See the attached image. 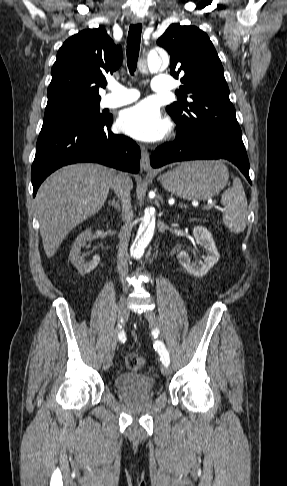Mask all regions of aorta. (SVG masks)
I'll return each instance as SVG.
<instances>
[{
  "label": "aorta",
  "instance_id": "1",
  "mask_svg": "<svg viewBox=\"0 0 287 486\" xmlns=\"http://www.w3.org/2000/svg\"><path fill=\"white\" fill-rule=\"evenodd\" d=\"M168 64V56H159L155 52H151L147 57V65L150 71H156L161 66ZM155 232V213L154 211L145 212L141 219V224L138 229L136 238L130 248V254L134 258H140L144 253L145 248L152 240Z\"/></svg>",
  "mask_w": 287,
  "mask_h": 486
}]
</instances>
